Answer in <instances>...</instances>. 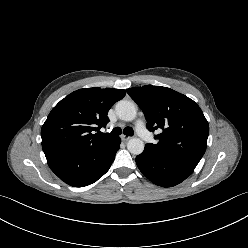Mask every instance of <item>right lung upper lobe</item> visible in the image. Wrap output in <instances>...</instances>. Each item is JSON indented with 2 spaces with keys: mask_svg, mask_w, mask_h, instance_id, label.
I'll return each mask as SVG.
<instances>
[{
  "mask_svg": "<svg viewBox=\"0 0 248 248\" xmlns=\"http://www.w3.org/2000/svg\"><path fill=\"white\" fill-rule=\"evenodd\" d=\"M123 89L84 88L62 99L41 129L45 153L87 152L110 143L115 137L98 136L95 130L109 122L112 105L125 96Z\"/></svg>",
  "mask_w": 248,
  "mask_h": 248,
  "instance_id": "right-lung-upper-lobe-1",
  "label": "right lung upper lobe"
}]
</instances>
